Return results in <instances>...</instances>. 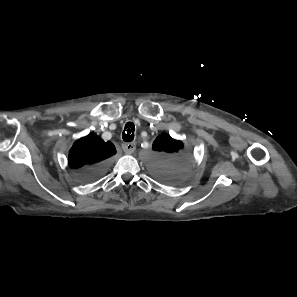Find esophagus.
I'll return each instance as SVG.
<instances>
[{
	"mask_svg": "<svg viewBox=\"0 0 297 297\" xmlns=\"http://www.w3.org/2000/svg\"><path fill=\"white\" fill-rule=\"evenodd\" d=\"M122 149L124 150L125 153L131 154V153H133L135 151L136 144L134 142L123 143L122 144Z\"/></svg>",
	"mask_w": 297,
	"mask_h": 297,
	"instance_id": "obj_1",
	"label": "esophagus"
}]
</instances>
